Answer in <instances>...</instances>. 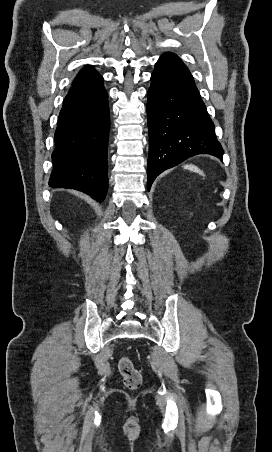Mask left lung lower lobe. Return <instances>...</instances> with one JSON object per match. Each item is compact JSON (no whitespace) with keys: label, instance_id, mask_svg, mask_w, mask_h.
Wrapping results in <instances>:
<instances>
[{"label":"left lung lower lobe","instance_id":"0a47b994","mask_svg":"<svg viewBox=\"0 0 272 452\" xmlns=\"http://www.w3.org/2000/svg\"><path fill=\"white\" fill-rule=\"evenodd\" d=\"M148 190L164 170L197 154L222 159L215 126L189 69L173 53L156 63L148 90Z\"/></svg>","mask_w":272,"mask_h":452}]
</instances>
